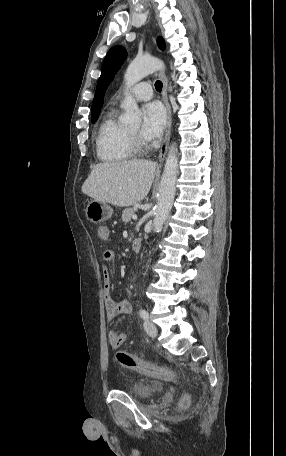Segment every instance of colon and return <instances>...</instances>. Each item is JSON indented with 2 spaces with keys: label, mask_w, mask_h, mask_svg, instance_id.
I'll return each instance as SVG.
<instances>
[{
  "label": "colon",
  "mask_w": 286,
  "mask_h": 456,
  "mask_svg": "<svg viewBox=\"0 0 286 456\" xmlns=\"http://www.w3.org/2000/svg\"><path fill=\"white\" fill-rule=\"evenodd\" d=\"M116 357L122 366L135 370L142 375L166 382L175 381V374L172 370L144 361L126 351H118Z\"/></svg>",
  "instance_id": "1"
}]
</instances>
